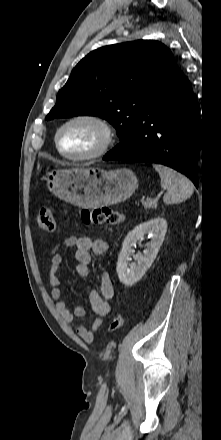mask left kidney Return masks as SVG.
I'll list each match as a JSON object with an SVG mask.
<instances>
[{
  "label": "left kidney",
  "instance_id": "5707ae66",
  "mask_svg": "<svg viewBox=\"0 0 221 440\" xmlns=\"http://www.w3.org/2000/svg\"><path fill=\"white\" fill-rule=\"evenodd\" d=\"M166 231V220L157 217L137 225L125 237L116 268L119 280L125 286L137 283L150 268L164 241ZM146 234L151 236V241L145 245L146 249L143 254L134 255L133 247L137 242H141ZM131 256L137 260V263H129Z\"/></svg>",
  "mask_w": 221,
  "mask_h": 440
}]
</instances>
